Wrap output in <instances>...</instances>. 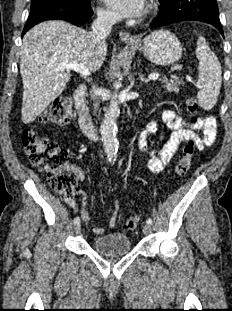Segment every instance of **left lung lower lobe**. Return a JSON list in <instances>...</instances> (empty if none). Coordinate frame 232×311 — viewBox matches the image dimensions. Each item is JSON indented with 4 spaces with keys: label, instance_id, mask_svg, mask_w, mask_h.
Wrapping results in <instances>:
<instances>
[{
    "label": "left lung lower lobe",
    "instance_id": "left-lung-lower-lobe-1",
    "mask_svg": "<svg viewBox=\"0 0 232 311\" xmlns=\"http://www.w3.org/2000/svg\"><path fill=\"white\" fill-rule=\"evenodd\" d=\"M159 2L161 8L151 22V29L180 21H201L215 26L223 35L215 0H159Z\"/></svg>",
    "mask_w": 232,
    "mask_h": 311
}]
</instances>
